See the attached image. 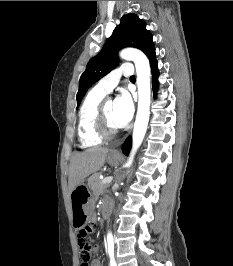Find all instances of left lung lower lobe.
<instances>
[{
    "instance_id": "obj_1",
    "label": "left lung lower lobe",
    "mask_w": 233,
    "mask_h": 266,
    "mask_svg": "<svg viewBox=\"0 0 233 266\" xmlns=\"http://www.w3.org/2000/svg\"><path fill=\"white\" fill-rule=\"evenodd\" d=\"M147 57L150 60V65L152 69V81H153V90L156 92L158 90V75L159 71L157 68V61H156V54H155V48L151 49L147 54ZM154 97H156V94H154ZM131 137L129 136L124 144L122 145V151L125 155H128L130 149H131Z\"/></svg>"
}]
</instances>
